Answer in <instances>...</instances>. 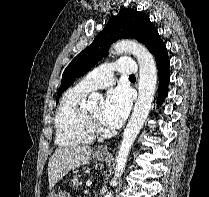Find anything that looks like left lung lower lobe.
Listing matches in <instances>:
<instances>
[{
	"instance_id": "0a47b994",
	"label": "left lung lower lobe",
	"mask_w": 209,
	"mask_h": 197,
	"mask_svg": "<svg viewBox=\"0 0 209 197\" xmlns=\"http://www.w3.org/2000/svg\"><path fill=\"white\" fill-rule=\"evenodd\" d=\"M153 54L156 57L157 67L159 71V94L157 103L161 104L167 95L168 83L170 79L169 57L165 44L162 42L159 46H157L153 51Z\"/></svg>"
}]
</instances>
